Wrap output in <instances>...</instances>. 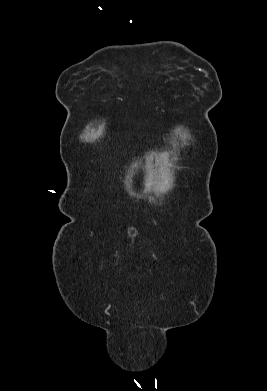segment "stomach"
<instances>
[{
	"instance_id": "obj_1",
	"label": "stomach",
	"mask_w": 267,
	"mask_h": 391,
	"mask_svg": "<svg viewBox=\"0 0 267 391\" xmlns=\"http://www.w3.org/2000/svg\"><path fill=\"white\" fill-rule=\"evenodd\" d=\"M150 189V186H145L144 189H143V193L147 192L148 190Z\"/></svg>"
}]
</instances>
